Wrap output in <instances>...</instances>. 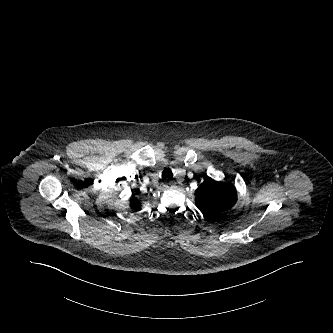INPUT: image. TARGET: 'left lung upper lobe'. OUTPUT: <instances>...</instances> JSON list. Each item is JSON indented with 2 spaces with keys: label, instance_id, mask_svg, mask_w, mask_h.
Instances as JSON below:
<instances>
[{
  "label": "left lung upper lobe",
  "instance_id": "1",
  "mask_svg": "<svg viewBox=\"0 0 333 333\" xmlns=\"http://www.w3.org/2000/svg\"><path fill=\"white\" fill-rule=\"evenodd\" d=\"M236 201L237 192L233 184L217 182L208 176L195 192L196 206L205 218H217L231 209Z\"/></svg>",
  "mask_w": 333,
  "mask_h": 333
}]
</instances>
